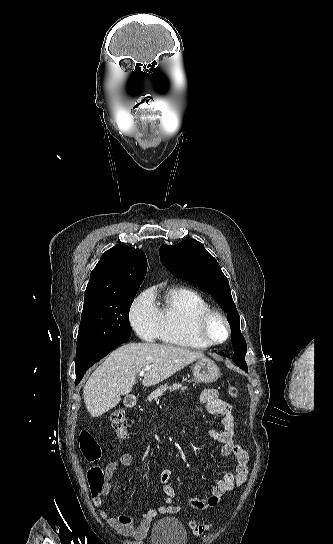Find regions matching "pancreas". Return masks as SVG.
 <instances>
[{"label": "pancreas", "mask_w": 333, "mask_h": 544, "mask_svg": "<svg viewBox=\"0 0 333 544\" xmlns=\"http://www.w3.org/2000/svg\"><path fill=\"white\" fill-rule=\"evenodd\" d=\"M179 389H181V391L183 392L184 390L187 389V387L182 386V384H180V383H175L172 386H167V385L160 386V388L153 391L147 397V400L149 402H152L153 400H158V398L161 397L165 391L169 390L171 392V391H175V390H179Z\"/></svg>", "instance_id": "pancreas-1"}]
</instances>
